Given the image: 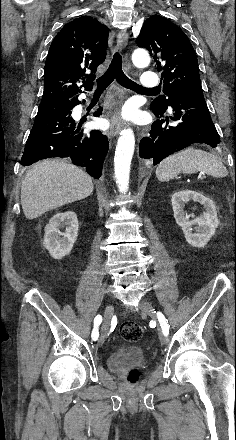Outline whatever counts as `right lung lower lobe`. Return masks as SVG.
Wrapping results in <instances>:
<instances>
[{
    "mask_svg": "<svg viewBox=\"0 0 236 440\" xmlns=\"http://www.w3.org/2000/svg\"><path fill=\"white\" fill-rule=\"evenodd\" d=\"M79 103L78 97L40 103L21 159L23 166L45 158H69L75 165L85 167L95 179L101 176L108 138L99 130L77 126L72 110ZM101 112L100 107L94 116L99 117Z\"/></svg>",
    "mask_w": 236,
    "mask_h": 440,
    "instance_id": "obj_1",
    "label": "right lung lower lobe"
}]
</instances>
